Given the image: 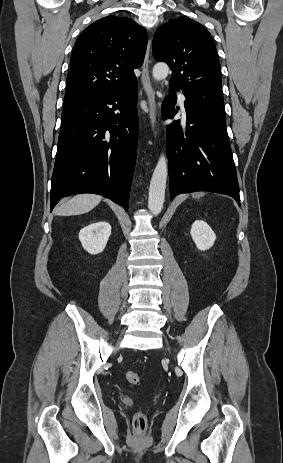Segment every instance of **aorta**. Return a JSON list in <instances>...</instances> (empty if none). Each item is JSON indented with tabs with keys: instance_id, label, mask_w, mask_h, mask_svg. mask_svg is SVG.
<instances>
[{
	"instance_id": "1",
	"label": "aorta",
	"mask_w": 283,
	"mask_h": 463,
	"mask_svg": "<svg viewBox=\"0 0 283 463\" xmlns=\"http://www.w3.org/2000/svg\"><path fill=\"white\" fill-rule=\"evenodd\" d=\"M169 67L160 62L154 65L152 75L155 80H163L168 76ZM167 181V158L161 154L154 169L149 188L148 208L157 216L163 209Z\"/></svg>"
}]
</instances>
